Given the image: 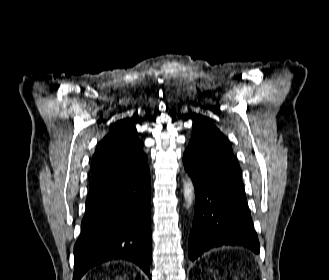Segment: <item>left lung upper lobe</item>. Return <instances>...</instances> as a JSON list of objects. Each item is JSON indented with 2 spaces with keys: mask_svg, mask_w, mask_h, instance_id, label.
I'll return each mask as SVG.
<instances>
[{
  "mask_svg": "<svg viewBox=\"0 0 329 280\" xmlns=\"http://www.w3.org/2000/svg\"><path fill=\"white\" fill-rule=\"evenodd\" d=\"M183 159L191 170L206 180L222 181L223 164H238L225 136L207 119L199 118L193 124V133Z\"/></svg>",
  "mask_w": 329,
  "mask_h": 280,
  "instance_id": "obj_1",
  "label": "left lung upper lobe"
}]
</instances>
